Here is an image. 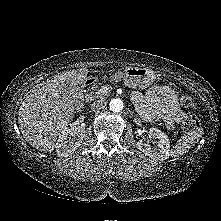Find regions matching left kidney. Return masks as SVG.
<instances>
[{"label": "left kidney", "instance_id": "5707ae66", "mask_svg": "<svg viewBox=\"0 0 221 221\" xmlns=\"http://www.w3.org/2000/svg\"><path fill=\"white\" fill-rule=\"evenodd\" d=\"M149 137L158 138V147L151 148L148 144H143L142 141L137 142V148L142 151L145 156H149V158L153 160H160L164 161L169 158L170 156V145L168 136L157 128H150L149 129Z\"/></svg>", "mask_w": 221, "mask_h": 221}]
</instances>
